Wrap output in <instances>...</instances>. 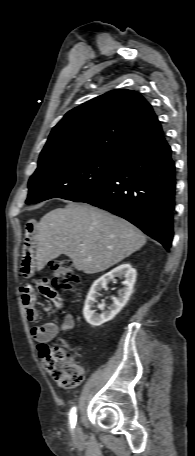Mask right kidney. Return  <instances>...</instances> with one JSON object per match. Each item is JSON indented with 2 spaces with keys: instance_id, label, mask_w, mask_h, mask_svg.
<instances>
[{
  "instance_id": "obj_1",
  "label": "right kidney",
  "mask_w": 195,
  "mask_h": 456,
  "mask_svg": "<svg viewBox=\"0 0 195 456\" xmlns=\"http://www.w3.org/2000/svg\"><path fill=\"white\" fill-rule=\"evenodd\" d=\"M136 275V270L132 268L129 263H124L98 278L92 284L85 301L83 308L85 320L93 327L101 326L102 324L112 320L126 305L133 293ZM115 277L124 278V281L122 282L124 288L119 291L118 297L112 298L113 304L110 305L107 311H104L101 314L95 313L93 308L97 301V297L100 295L99 292L106 288L107 284Z\"/></svg>"
}]
</instances>
